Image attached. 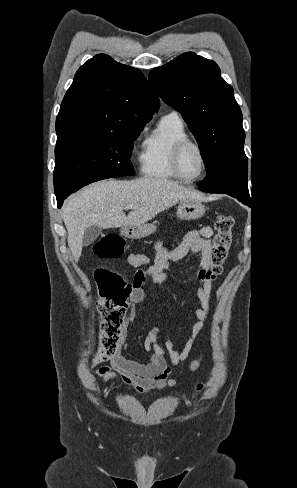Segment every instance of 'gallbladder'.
<instances>
[{"mask_svg": "<svg viewBox=\"0 0 297 488\" xmlns=\"http://www.w3.org/2000/svg\"><path fill=\"white\" fill-rule=\"evenodd\" d=\"M100 233H101L100 227L95 225L88 227L84 232L83 245L88 246L92 244L98 238Z\"/></svg>", "mask_w": 297, "mask_h": 488, "instance_id": "obj_1", "label": "gallbladder"}]
</instances>
